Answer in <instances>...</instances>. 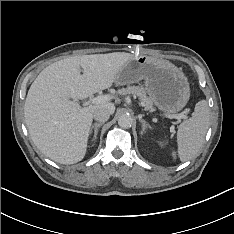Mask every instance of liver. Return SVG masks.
Instances as JSON below:
<instances>
[{
    "instance_id": "obj_1",
    "label": "liver",
    "mask_w": 234,
    "mask_h": 234,
    "mask_svg": "<svg viewBox=\"0 0 234 234\" xmlns=\"http://www.w3.org/2000/svg\"><path fill=\"white\" fill-rule=\"evenodd\" d=\"M133 57L126 52L73 56L40 72L28 91L24 117L42 154L60 164L84 158L94 111L105 108L112 114L115 105L81 107L75 101L110 88L119 69Z\"/></svg>"
}]
</instances>
